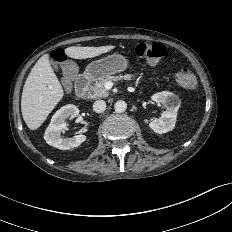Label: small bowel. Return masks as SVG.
I'll use <instances>...</instances> for the list:
<instances>
[{
    "label": "small bowel",
    "instance_id": "c3829d8e",
    "mask_svg": "<svg viewBox=\"0 0 232 232\" xmlns=\"http://www.w3.org/2000/svg\"><path fill=\"white\" fill-rule=\"evenodd\" d=\"M153 67H154V70H155V68H156V65H153Z\"/></svg>",
    "mask_w": 232,
    "mask_h": 232
}]
</instances>
